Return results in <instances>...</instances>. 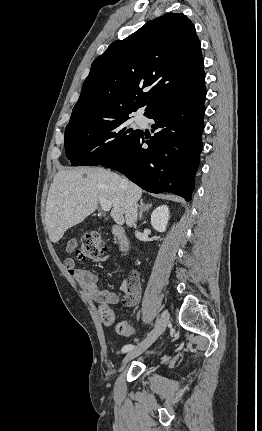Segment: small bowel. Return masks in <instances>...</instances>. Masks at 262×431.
Wrapping results in <instances>:
<instances>
[{
    "instance_id": "small-bowel-1",
    "label": "small bowel",
    "mask_w": 262,
    "mask_h": 431,
    "mask_svg": "<svg viewBox=\"0 0 262 431\" xmlns=\"http://www.w3.org/2000/svg\"><path fill=\"white\" fill-rule=\"evenodd\" d=\"M104 260H109V257H105ZM64 266L68 273L79 282L85 296L98 303L100 315L105 314L115 319V314L111 307L119 302L118 295L102 289L98 283L97 275L88 269L77 267L72 258H67L64 261ZM121 291L125 295L124 302L129 306L135 305L141 298V286L135 277L125 278L121 285ZM128 326L131 327L129 324Z\"/></svg>"
}]
</instances>
